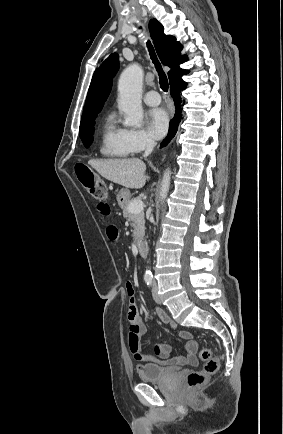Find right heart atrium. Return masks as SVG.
Here are the masks:
<instances>
[{
  "label": "right heart atrium",
  "instance_id": "right-heart-atrium-1",
  "mask_svg": "<svg viewBox=\"0 0 283 434\" xmlns=\"http://www.w3.org/2000/svg\"><path fill=\"white\" fill-rule=\"evenodd\" d=\"M125 141L130 153H139L154 145L149 134L139 128L125 129Z\"/></svg>",
  "mask_w": 283,
  "mask_h": 434
}]
</instances>
